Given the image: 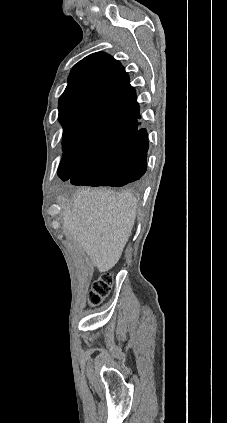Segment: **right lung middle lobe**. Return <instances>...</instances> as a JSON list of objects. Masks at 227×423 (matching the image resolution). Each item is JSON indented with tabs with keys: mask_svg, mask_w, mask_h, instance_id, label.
<instances>
[{
	"mask_svg": "<svg viewBox=\"0 0 227 423\" xmlns=\"http://www.w3.org/2000/svg\"><path fill=\"white\" fill-rule=\"evenodd\" d=\"M63 161L68 165L69 177L82 165V163L90 156L87 154L77 153L63 147Z\"/></svg>",
	"mask_w": 227,
	"mask_h": 423,
	"instance_id": "obj_1",
	"label": "right lung middle lobe"
}]
</instances>
